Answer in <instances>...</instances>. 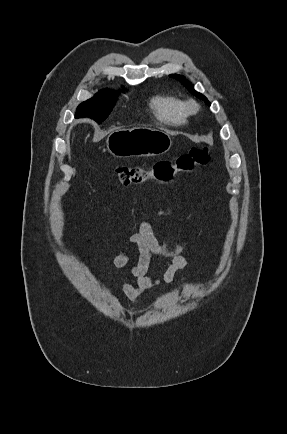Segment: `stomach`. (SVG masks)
Listing matches in <instances>:
<instances>
[{
    "instance_id": "stomach-1",
    "label": "stomach",
    "mask_w": 287,
    "mask_h": 434,
    "mask_svg": "<svg viewBox=\"0 0 287 434\" xmlns=\"http://www.w3.org/2000/svg\"><path fill=\"white\" fill-rule=\"evenodd\" d=\"M106 146L114 157H148L169 151L172 139L165 131L152 127L117 129L107 136Z\"/></svg>"
}]
</instances>
